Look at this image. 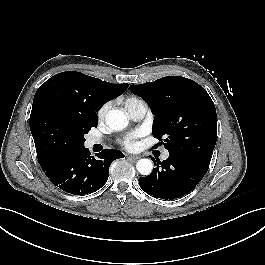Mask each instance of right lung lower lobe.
Instances as JSON below:
<instances>
[{
  "mask_svg": "<svg viewBox=\"0 0 265 265\" xmlns=\"http://www.w3.org/2000/svg\"><path fill=\"white\" fill-rule=\"evenodd\" d=\"M89 149H78L38 159L46 176L54 185L71 194H87L99 190L107 181L110 164L124 155L118 150H103L97 158Z\"/></svg>",
  "mask_w": 265,
  "mask_h": 265,
  "instance_id": "1",
  "label": "right lung lower lobe"
}]
</instances>
